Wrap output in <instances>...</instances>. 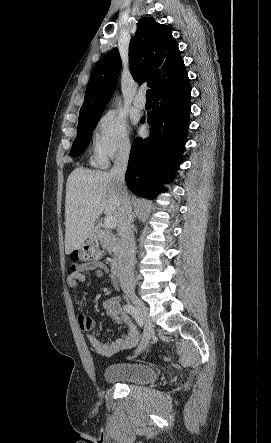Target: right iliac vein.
<instances>
[{"label":"right iliac vein","instance_id":"obj_1","mask_svg":"<svg viewBox=\"0 0 271 443\" xmlns=\"http://www.w3.org/2000/svg\"><path fill=\"white\" fill-rule=\"evenodd\" d=\"M129 299L136 306V308L138 309V311L145 323V330H144L143 338H142L140 346L138 347V350H137L138 352H140L147 346L150 339L153 337L154 325L148 315V310H147L146 306L144 305V303L140 299H138L135 295H129Z\"/></svg>","mask_w":271,"mask_h":443}]
</instances>
